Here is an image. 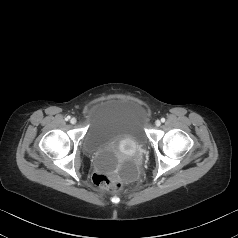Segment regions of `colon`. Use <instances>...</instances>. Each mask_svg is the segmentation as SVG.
<instances>
[{
	"instance_id": "obj_1",
	"label": "colon",
	"mask_w": 238,
	"mask_h": 238,
	"mask_svg": "<svg viewBox=\"0 0 238 238\" xmlns=\"http://www.w3.org/2000/svg\"><path fill=\"white\" fill-rule=\"evenodd\" d=\"M92 181L96 186L110 191L120 189L123 184V180L119 175L101 171L93 174Z\"/></svg>"
}]
</instances>
